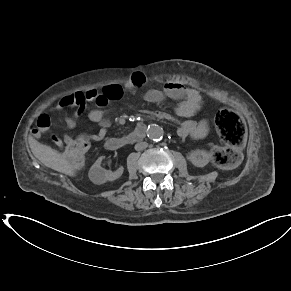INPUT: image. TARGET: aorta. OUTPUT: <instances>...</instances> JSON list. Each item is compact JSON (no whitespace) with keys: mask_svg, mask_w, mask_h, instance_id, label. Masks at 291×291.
I'll return each mask as SVG.
<instances>
[{"mask_svg":"<svg viewBox=\"0 0 291 291\" xmlns=\"http://www.w3.org/2000/svg\"><path fill=\"white\" fill-rule=\"evenodd\" d=\"M147 135L150 139L159 141L163 137V128L159 125L152 124L148 127Z\"/></svg>","mask_w":291,"mask_h":291,"instance_id":"obj_1","label":"aorta"}]
</instances>
